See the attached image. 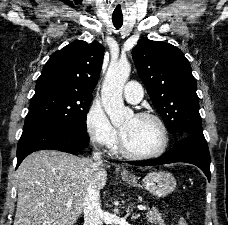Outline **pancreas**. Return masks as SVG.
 Instances as JSON below:
<instances>
[{
	"instance_id": "1",
	"label": "pancreas",
	"mask_w": 228,
	"mask_h": 225,
	"mask_svg": "<svg viewBox=\"0 0 228 225\" xmlns=\"http://www.w3.org/2000/svg\"><path fill=\"white\" fill-rule=\"evenodd\" d=\"M147 221L149 223H154V225H164V219L162 217V213H159L157 209H151L149 213H146Z\"/></svg>"
}]
</instances>
